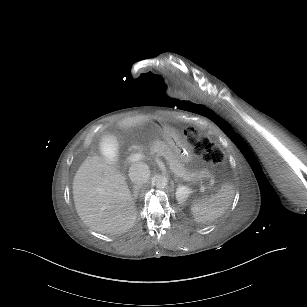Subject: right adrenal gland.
Here are the masks:
<instances>
[{"label":"right adrenal gland","mask_w":307,"mask_h":307,"mask_svg":"<svg viewBox=\"0 0 307 307\" xmlns=\"http://www.w3.org/2000/svg\"><path fill=\"white\" fill-rule=\"evenodd\" d=\"M137 191L134 192L133 196H136Z\"/></svg>","instance_id":"2a0ac1e0"}]
</instances>
